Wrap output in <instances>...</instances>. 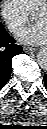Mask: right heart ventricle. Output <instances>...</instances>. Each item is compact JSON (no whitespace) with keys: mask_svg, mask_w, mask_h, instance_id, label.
Masks as SVG:
<instances>
[{"mask_svg":"<svg viewBox=\"0 0 47 129\" xmlns=\"http://www.w3.org/2000/svg\"><path fill=\"white\" fill-rule=\"evenodd\" d=\"M29 12H33L44 0H21Z\"/></svg>","mask_w":47,"mask_h":129,"instance_id":"right-heart-ventricle-1","label":"right heart ventricle"}]
</instances>
